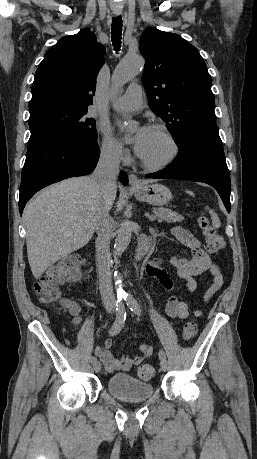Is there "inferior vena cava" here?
<instances>
[{
  "label": "inferior vena cava",
  "instance_id": "inferior-vena-cava-1",
  "mask_svg": "<svg viewBox=\"0 0 257 459\" xmlns=\"http://www.w3.org/2000/svg\"><path fill=\"white\" fill-rule=\"evenodd\" d=\"M120 156L114 148L101 151L98 164L92 174L99 194L98 210L96 216V256L98 261L99 289L102 301L106 307L113 308L115 297L112 288L110 266V239L113 231L110 217V194L116 188V180L119 174Z\"/></svg>",
  "mask_w": 257,
  "mask_h": 459
}]
</instances>
